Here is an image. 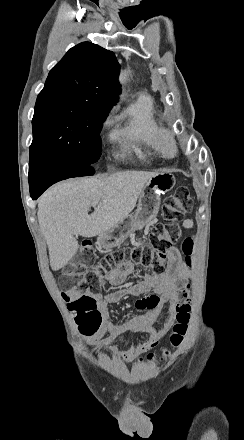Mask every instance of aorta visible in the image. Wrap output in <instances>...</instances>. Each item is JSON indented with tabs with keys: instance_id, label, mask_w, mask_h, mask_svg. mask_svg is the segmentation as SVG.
Listing matches in <instances>:
<instances>
[{
	"instance_id": "1",
	"label": "aorta",
	"mask_w": 244,
	"mask_h": 440,
	"mask_svg": "<svg viewBox=\"0 0 244 440\" xmlns=\"http://www.w3.org/2000/svg\"><path fill=\"white\" fill-rule=\"evenodd\" d=\"M127 74H128V72L127 71H124V72H122L121 73V75H120V82L123 84L124 82H125V80H126V78H127Z\"/></svg>"
}]
</instances>
